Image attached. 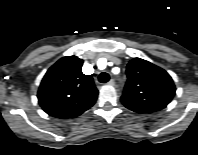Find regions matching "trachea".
<instances>
[{
    "label": "trachea",
    "instance_id": "1",
    "mask_svg": "<svg viewBox=\"0 0 198 155\" xmlns=\"http://www.w3.org/2000/svg\"><path fill=\"white\" fill-rule=\"evenodd\" d=\"M109 79H110L109 74L105 72L101 73L98 77L100 83H106L109 81Z\"/></svg>",
    "mask_w": 198,
    "mask_h": 155
}]
</instances>
